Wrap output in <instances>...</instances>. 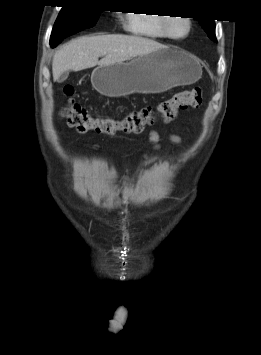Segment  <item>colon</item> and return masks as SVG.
Masks as SVG:
<instances>
[{
    "instance_id": "colon-1",
    "label": "colon",
    "mask_w": 261,
    "mask_h": 355,
    "mask_svg": "<svg viewBox=\"0 0 261 355\" xmlns=\"http://www.w3.org/2000/svg\"><path fill=\"white\" fill-rule=\"evenodd\" d=\"M64 93L71 97L73 88L66 86ZM201 103L202 92L196 87L177 92L156 106H145L134 110L122 119L94 117L72 98L63 107L62 115L66 118L68 125L79 132L93 131L105 135L131 134L140 133L147 125L153 124L158 117L168 122L173 120L180 110L197 108Z\"/></svg>"
}]
</instances>
